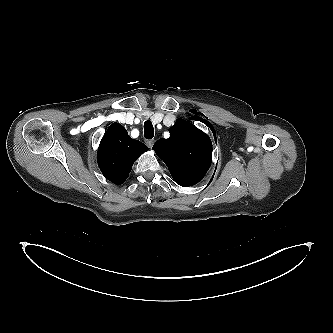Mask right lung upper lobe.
<instances>
[{"label":"right lung upper lobe","mask_w":333,"mask_h":333,"mask_svg":"<svg viewBox=\"0 0 333 333\" xmlns=\"http://www.w3.org/2000/svg\"><path fill=\"white\" fill-rule=\"evenodd\" d=\"M148 151V147L128 136L118 123H113L103 136L97 153V162L103 175L115 184L128 178L133 163Z\"/></svg>","instance_id":"1"}]
</instances>
